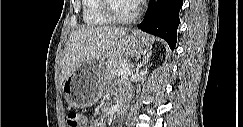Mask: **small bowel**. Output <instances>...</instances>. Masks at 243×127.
I'll use <instances>...</instances> for the list:
<instances>
[{
    "mask_svg": "<svg viewBox=\"0 0 243 127\" xmlns=\"http://www.w3.org/2000/svg\"><path fill=\"white\" fill-rule=\"evenodd\" d=\"M83 121H84V127H88L89 126L88 125V120L87 119H84Z\"/></svg>",
    "mask_w": 243,
    "mask_h": 127,
    "instance_id": "1",
    "label": "small bowel"
}]
</instances>
